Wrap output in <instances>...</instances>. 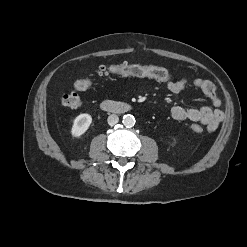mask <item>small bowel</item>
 I'll return each instance as SVG.
<instances>
[{
    "instance_id": "obj_1",
    "label": "small bowel",
    "mask_w": 247,
    "mask_h": 247,
    "mask_svg": "<svg viewBox=\"0 0 247 247\" xmlns=\"http://www.w3.org/2000/svg\"><path fill=\"white\" fill-rule=\"evenodd\" d=\"M164 83L168 90L175 94L181 92L190 85V82L186 78ZM191 84L199 89L205 98L210 100L214 108L203 103L198 107L192 108L174 106L171 109V116L175 120H189L191 122L199 123L205 126L208 132H213L218 128L220 122L224 118V112L220 109L221 100L216 93L215 85L211 81L201 78L194 79Z\"/></svg>"
}]
</instances>
